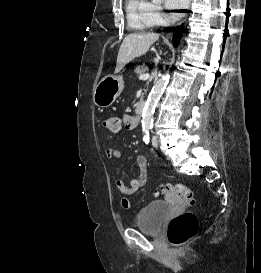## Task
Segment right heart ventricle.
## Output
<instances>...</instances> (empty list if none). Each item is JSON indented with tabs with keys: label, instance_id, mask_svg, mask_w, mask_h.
I'll list each match as a JSON object with an SVG mask.
<instances>
[{
	"label": "right heart ventricle",
	"instance_id": "1",
	"mask_svg": "<svg viewBox=\"0 0 261 273\" xmlns=\"http://www.w3.org/2000/svg\"><path fill=\"white\" fill-rule=\"evenodd\" d=\"M126 15L129 26L135 31H146L156 25L148 0H127Z\"/></svg>",
	"mask_w": 261,
	"mask_h": 273
}]
</instances>
